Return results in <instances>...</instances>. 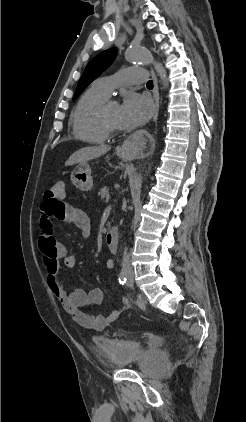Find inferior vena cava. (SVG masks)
I'll use <instances>...</instances> for the list:
<instances>
[{
    "mask_svg": "<svg viewBox=\"0 0 246 422\" xmlns=\"http://www.w3.org/2000/svg\"><path fill=\"white\" fill-rule=\"evenodd\" d=\"M122 266H123V271L128 272V273H133V269L130 263V258H129V255L127 254L126 249L124 251Z\"/></svg>",
    "mask_w": 246,
    "mask_h": 422,
    "instance_id": "1",
    "label": "inferior vena cava"
}]
</instances>
